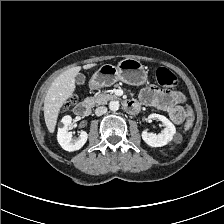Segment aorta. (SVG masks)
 <instances>
[{"mask_svg": "<svg viewBox=\"0 0 224 224\" xmlns=\"http://www.w3.org/2000/svg\"><path fill=\"white\" fill-rule=\"evenodd\" d=\"M119 102L118 101H111L110 103H109V109L111 110V111H117L118 109H119Z\"/></svg>", "mask_w": 224, "mask_h": 224, "instance_id": "1", "label": "aorta"}]
</instances>
